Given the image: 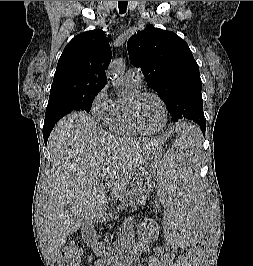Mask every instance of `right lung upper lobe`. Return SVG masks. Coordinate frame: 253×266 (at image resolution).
<instances>
[{
  "mask_svg": "<svg viewBox=\"0 0 253 266\" xmlns=\"http://www.w3.org/2000/svg\"><path fill=\"white\" fill-rule=\"evenodd\" d=\"M111 58V48L102 30L75 36L60 56L50 96L100 91L106 84L105 69Z\"/></svg>",
  "mask_w": 253,
  "mask_h": 266,
  "instance_id": "cb5924a9",
  "label": "right lung upper lobe"
}]
</instances>
